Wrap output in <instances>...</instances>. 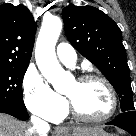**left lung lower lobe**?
Returning <instances> with one entry per match:
<instances>
[{
    "label": "left lung lower lobe",
    "mask_w": 136,
    "mask_h": 136,
    "mask_svg": "<svg viewBox=\"0 0 136 136\" xmlns=\"http://www.w3.org/2000/svg\"><path fill=\"white\" fill-rule=\"evenodd\" d=\"M107 124L120 127L126 130L127 132H129L132 136H136V112L135 111L122 112L113 121L108 122Z\"/></svg>",
    "instance_id": "left-lung-lower-lobe-1"
}]
</instances>
